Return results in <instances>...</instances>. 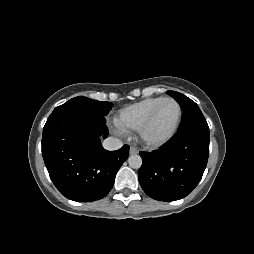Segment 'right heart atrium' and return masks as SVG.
<instances>
[{
    "instance_id": "1",
    "label": "right heart atrium",
    "mask_w": 254,
    "mask_h": 254,
    "mask_svg": "<svg viewBox=\"0 0 254 254\" xmlns=\"http://www.w3.org/2000/svg\"><path fill=\"white\" fill-rule=\"evenodd\" d=\"M114 130L119 134H125V130L122 129L118 124H115Z\"/></svg>"
}]
</instances>
